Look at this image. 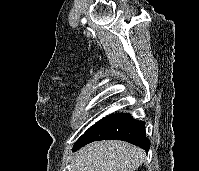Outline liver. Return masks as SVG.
Wrapping results in <instances>:
<instances>
[{
  "instance_id": "liver-1",
  "label": "liver",
  "mask_w": 199,
  "mask_h": 171,
  "mask_svg": "<svg viewBox=\"0 0 199 171\" xmlns=\"http://www.w3.org/2000/svg\"><path fill=\"white\" fill-rule=\"evenodd\" d=\"M145 152L127 142L105 140L80 149L71 159V171H135Z\"/></svg>"
}]
</instances>
